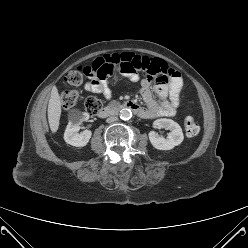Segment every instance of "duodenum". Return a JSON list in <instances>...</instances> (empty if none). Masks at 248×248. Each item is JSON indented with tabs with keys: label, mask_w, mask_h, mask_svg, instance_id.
I'll return each instance as SVG.
<instances>
[{
	"label": "duodenum",
	"mask_w": 248,
	"mask_h": 248,
	"mask_svg": "<svg viewBox=\"0 0 248 248\" xmlns=\"http://www.w3.org/2000/svg\"><path fill=\"white\" fill-rule=\"evenodd\" d=\"M122 108H129L136 114H139L141 111L140 107L137 104L133 102H126L120 107H104L100 109V111L97 113V116L99 118H105L119 112V110Z\"/></svg>",
	"instance_id": "duodenum-1"
}]
</instances>
